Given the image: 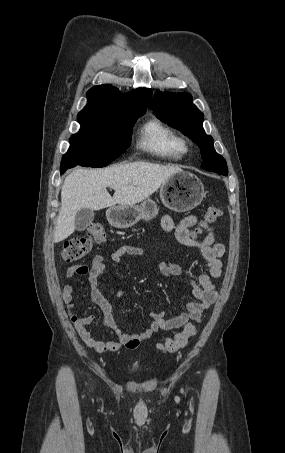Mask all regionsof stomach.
Returning <instances> with one entry per match:
<instances>
[{"label": "stomach", "instance_id": "1", "mask_svg": "<svg viewBox=\"0 0 285 453\" xmlns=\"http://www.w3.org/2000/svg\"><path fill=\"white\" fill-rule=\"evenodd\" d=\"M204 196V186L193 173L180 171L173 174L160 187V198L164 206L175 212H185L198 206ZM158 213L156 202L145 199L140 205L110 208L107 220L116 228H129L139 220H150Z\"/></svg>", "mask_w": 285, "mask_h": 453}]
</instances>
